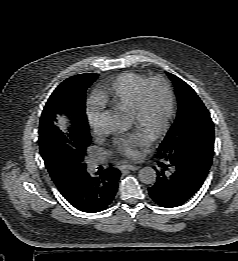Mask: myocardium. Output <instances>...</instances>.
<instances>
[{"label":"myocardium","mask_w":238,"mask_h":261,"mask_svg":"<svg viewBox=\"0 0 238 261\" xmlns=\"http://www.w3.org/2000/svg\"><path fill=\"white\" fill-rule=\"evenodd\" d=\"M156 83L161 84L165 90L167 96V111L162 123L152 134V139L161 137L169 129L175 113V93L170 81L162 75H155L148 78L139 88L135 105L130 111L131 116L135 119L136 124H139L144 117L147 92L149 88Z\"/></svg>","instance_id":"f54148a6"}]
</instances>
